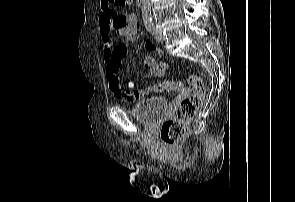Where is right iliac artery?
I'll list each match as a JSON object with an SVG mask.
<instances>
[{"label":"right iliac artery","mask_w":295,"mask_h":202,"mask_svg":"<svg viewBox=\"0 0 295 202\" xmlns=\"http://www.w3.org/2000/svg\"><path fill=\"white\" fill-rule=\"evenodd\" d=\"M145 27L148 32H151V23L150 22H145Z\"/></svg>","instance_id":"82829eb1"}]
</instances>
